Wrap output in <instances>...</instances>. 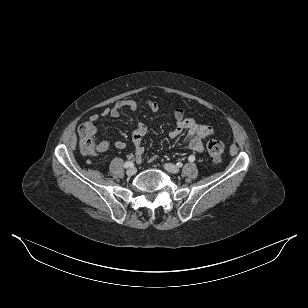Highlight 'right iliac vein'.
<instances>
[{"label":"right iliac vein","mask_w":308,"mask_h":308,"mask_svg":"<svg viewBox=\"0 0 308 308\" xmlns=\"http://www.w3.org/2000/svg\"><path fill=\"white\" fill-rule=\"evenodd\" d=\"M126 173H127L128 176H133L137 173V169H136V167L132 166L127 170Z\"/></svg>","instance_id":"right-iliac-vein-1"}]
</instances>
